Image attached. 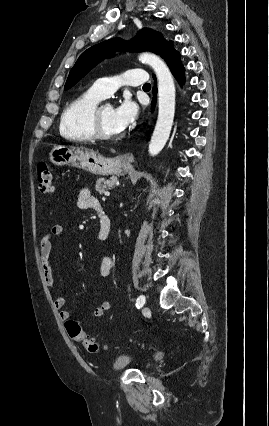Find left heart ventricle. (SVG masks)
<instances>
[{
    "instance_id": "1",
    "label": "left heart ventricle",
    "mask_w": 269,
    "mask_h": 426,
    "mask_svg": "<svg viewBox=\"0 0 269 426\" xmlns=\"http://www.w3.org/2000/svg\"><path fill=\"white\" fill-rule=\"evenodd\" d=\"M114 108L110 105H104L100 112V121L104 132L110 136H117L121 130L116 126L113 117Z\"/></svg>"
}]
</instances>
